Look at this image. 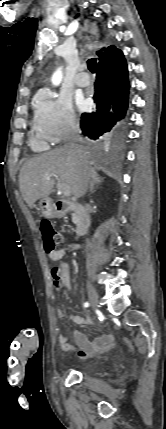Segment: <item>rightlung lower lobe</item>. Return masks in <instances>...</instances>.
<instances>
[{
	"mask_svg": "<svg viewBox=\"0 0 166 429\" xmlns=\"http://www.w3.org/2000/svg\"><path fill=\"white\" fill-rule=\"evenodd\" d=\"M93 99L95 110L81 116L82 134L96 140L118 132L129 99L127 63L121 50L99 60Z\"/></svg>",
	"mask_w": 166,
	"mask_h": 429,
	"instance_id": "right-lung-lower-lobe-1",
	"label": "right lung lower lobe"
}]
</instances>
